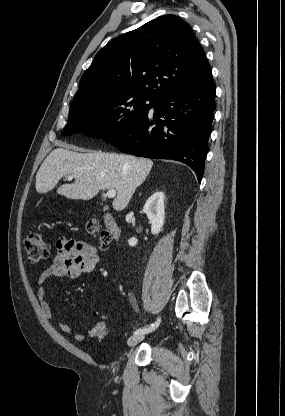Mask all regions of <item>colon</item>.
<instances>
[{"label":"colon","instance_id":"colon-1","mask_svg":"<svg viewBox=\"0 0 285 416\" xmlns=\"http://www.w3.org/2000/svg\"><path fill=\"white\" fill-rule=\"evenodd\" d=\"M90 232H98V224L94 220H90L86 224ZM101 241L105 244L112 242V234L108 231H102L100 234ZM25 249L28 261L31 263H38L45 260L50 255V249L47 243L43 240L40 234L32 232L25 239Z\"/></svg>","mask_w":285,"mask_h":416}]
</instances>
